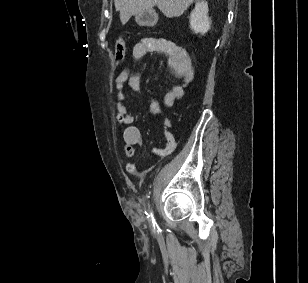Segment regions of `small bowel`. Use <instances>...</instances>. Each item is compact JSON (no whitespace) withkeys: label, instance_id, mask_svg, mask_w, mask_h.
Listing matches in <instances>:
<instances>
[{"label":"small bowel","instance_id":"1","mask_svg":"<svg viewBox=\"0 0 308 283\" xmlns=\"http://www.w3.org/2000/svg\"><path fill=\"white\" fill-rule=\"evenodd\" d=\"M150 53H161L168 57V63L174 74L183 81L182 85L174 86L164 97V108H171L178 100L185 95V89L194 80L195 72L189 53L175 43L162 38H143L133 47V56L137 59L143 58ZM142 77L139 73H131L123 69L115 78V87L117 89L116 112L117 119L121 125H124L123 140L124 151L127 158L132 159L135 156V147L140 143L141 134L135 125L133 117L129 114L126 106V96L124 93L125 86L133 91L141 88ZM152 116H159L163 108L156 101L152 100L150 107ZM166 145L163 148L154 149V154L158 157L170 155L176 147L174 136L165 132ZM151 167H139L134 162H128L126 165L127 172L131 174H144Z\"/></svg>","mask_w":308,"mask_h":283}]
</instances>
